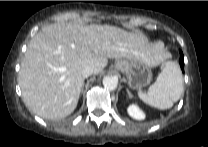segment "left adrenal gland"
Segmentation results:
<instances>
[{
  "instance_id": "left-adrenal-gland-1",
  "label": "left adrenal gland",
  "mask_w": 208,
  "mask_h": 147,
  "mask_svg": "<svg viewBox=\"0 0 208 147\" xmlns=\"http://www.w3.org/2000/svg\"><path fill=\"white\" fill-rule=\"evenodd\" d=\"M127 93H128V96L130 97V98H132L133 97V95L130 93V91L127 89Z\"/></svg>"
}]
</instances>
